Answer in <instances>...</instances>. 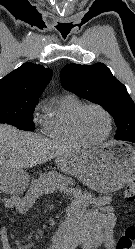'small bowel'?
Masks as SVG:
<instances>
[{
	"label": "small bowel",
	"instance_id": "obj_1",
	"mask_svg": "<svg viewBox=\"0 0 135 249\" xmlns=\"http://www.w3.org/2000/svg\"><path fill=\"white\" fill-rule=\"evenodd\" d=\"M6 209H15L19 215H24L27 206L24 200L16 196H9L2 200ZM97 210H86L79 208L86 221V235L92 244V249L99 245H104L107 249H114L113 228L116 223V213L111 205L109 196H100L95 199ZM2 249H12L8 237V230L2 228L0 231Z\"/></svg>",
	"mask_w": 135,
	"mask_h": 249
}]
</instances>
